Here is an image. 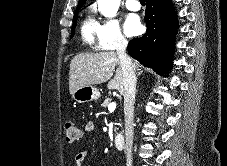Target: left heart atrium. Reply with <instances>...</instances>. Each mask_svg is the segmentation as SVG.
I'll return each instance as SVG.
<instances>
[{"label":"left heart atrium","instance_id":"39dd6f15","mask_svg":"<svg viewBox=\"0 0 227 166\" xmlns=\"http://www.w3.org/2000/svg\"><path fill=\"white\" fill-rule=\"evenodd\" d=\"M142 29L139 18L136 15H129L125 21V31L128 35H136Z\"/></svg>","mask_w":227,"mask_h":166}]
</instances>
